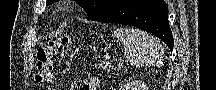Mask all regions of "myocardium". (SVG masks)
<instances>
[{"instance_id":"myocardium-1","label":"myocardium","mask_w":216,"mask_h":90,"mask_svg":"<svg viewBox=\"0 0 216 90\" xmlns=\"http://www.w3.org/2000/svg\"><path fill=\"white\" fill-rule=\"evenodd\" d=\"M62 2H65V0H62ZM66 2H70V0H66ZM73 2H76V0H73Z\"/></svg>"}]
</instances>
